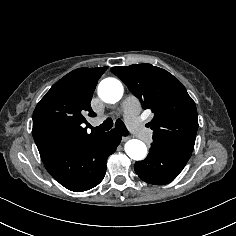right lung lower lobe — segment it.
<instances>
[{"instance_id":"obj_1","label":"right lung lower lobe","mask_w":236,"mask_h":236,"mask_svg":"<svg viewBox=\"0 0 236 236\" xmlns=\"http://www.w3.org/2000/svg\"><path fill=\"white\" fill-rule=\"evenodd\" d=\"M121 141L116 130L68 146L57 154L43 159L53 178L75 192L89 190L98 185L106 173V161Z\"/></svg>"}]
</instances>
